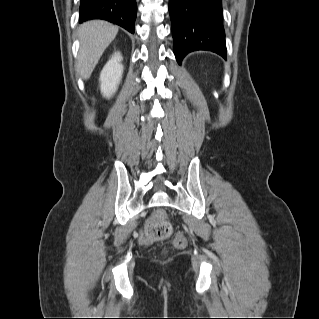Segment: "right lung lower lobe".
I'll use <instances>...</instances> for the list:
<instances>
[{"label": "right lung lower lobe", "mask_w": 319, "mask_h": 319, "mask_svg": "<svg viewBox=\"0 0 319 319\" xmlns=\"http://www.w3.org/2000/svg\"><path fill=\"white\" fill-rule=\"evenodd\" d=\"M136 13L135 0H81L79 22L103 19L134 33Z\"/></svg>", "instance_id": "98d812e1"}]
</instances>
